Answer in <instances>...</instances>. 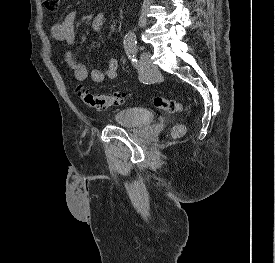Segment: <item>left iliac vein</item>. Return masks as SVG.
<instances>
[{
    "label": "left iliac vein",
    "instance_id": "1",
    "mask_svg": "<svg viewBox=\"0 0 275 263\" xmlns=\"http://www.w3.org/2000/svg\"><path fill=\"white\" fill-rule=\"evenodd\" d=\"M140 69L142 70L143 73L147 75H151L156 72L157 67L153 63L151 59V55L149 52H142L140 55Z\"/></svg>",
    "mask_w": 275,
    "mask_h": 263
}]
</instances>
